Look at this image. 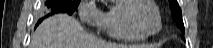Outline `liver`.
<instances>
[{"instance_id":"liver-1","label":"liver","mask_w":213,"mask_h":48,"mask_svg":"<svg viewBox=\"0 0 213 48\" xmlns=\"http://www.w3.org/2000/svg\"><path fill=\"white\" fill-rule=\"evenodd\" d=\"M30 48H140L106 42L85 31L78 20L67 14L45 19L31 36Z\"/></svg>"}]
</instances>
